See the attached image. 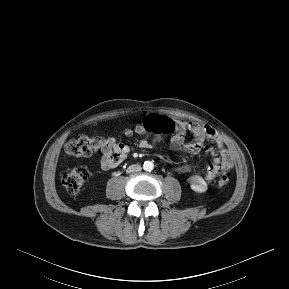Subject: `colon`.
<instances>
[{
  "instance_id": "obj_1",
  "label": "colon",
  "mask_w": 289,
  "mask_h": 289,
  "mask_svg": "<svg viewBox=\"0 0 289 289\" xmlns=\"http://www.w3.org/2000/svg\"><path fill=\"white\" fill-rule=\"evenodd\" d=\"M140 127L145 133H163V134H176L180 130V123L178 120L163 117L159 113H152L145 117L140 122ZM103 138L99 136L79 135L72 138L65 145V152L72 156H89L98 152L103 143ZM89 172L86 166L79 165L67 171L62 178V183L69 193H79L88 179ZM229 182L227 174L222 175L218 182V187H224Z\"/></svg>"
}]
</instances>
